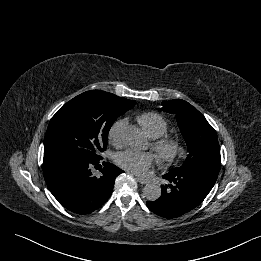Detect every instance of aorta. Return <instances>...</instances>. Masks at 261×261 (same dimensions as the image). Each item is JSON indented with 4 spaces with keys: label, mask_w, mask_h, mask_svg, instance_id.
<instances>
[{
    "label": "aorta",
    "mask_w": 261,
    "mask_h": 261,
    "mask_svg": "<svg viewBox=\"0 0 261 261\" xmlns=\"http://www.w3.org/2000/svg\"><path fill=\"white\" fill-rule=\"evenodd\" d=\"M123 139L125 143L132 149H142L146 145V137L144 133L136 126H127L123 132ZM143 193L149 201L157 200L161 195V188L159 185L148 183L143 188Z\"/></svg>",
    "instance_id": "obj_1"
}]
</instances>
